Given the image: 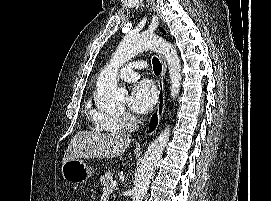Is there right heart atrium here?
<instances>
[{
	"instance_id": "obj_1",
	"label": "right heart atrium",
	"mask_w": 271,
	"mask_h": 201,
	"mask_svg": "<svg viewBox=\"0 0 271 201\" xmlns=\"http://www.w3.org/2000/svg\"><path fill=\"white\" fill-rule=\"evenodd\" d=\"M103 119L109 124L123 130L132 129L136 123L137 118L130 112H124L118 116H104Z\"/></svg>"
}]
</instances>
